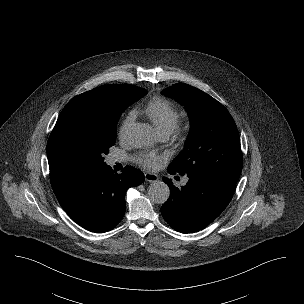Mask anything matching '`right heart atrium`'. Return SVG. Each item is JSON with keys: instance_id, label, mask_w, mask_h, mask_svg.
<instances>
[{"instance_id": "d8ad5b80", "label": "right heart atrium", "mask_w": 304, "mask_h": 304, "mask_svg": "<svg viewBox=\"0 0 304 304\" xmlns=\"http://www.w3.org/2000/svg\"><path fill=\"white\" fill-rule=\"evenodd\" d=\"M134 120V113L130 112L128 113L125 118L123 119L120 129H119V136L123 137L126 134V131L128 130V127Z\"/></svg>"}]
</instances>
